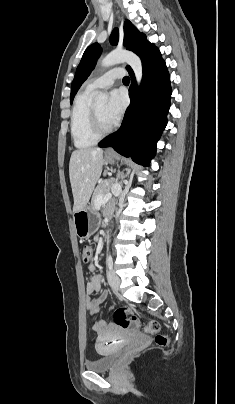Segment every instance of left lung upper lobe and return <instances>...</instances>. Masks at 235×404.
<instances>
[{"label": "left lung upper lobe", "mask_w": 235, "mask_h": 404, "mask_svg": "<svg viewBox=\"0 0 235 404\" xmlns=\"http://www.w3.org/2000/svg\"><path fill=\"white\" fill-rule=\"evenodd\" d=\"M119 40V31L115 28L110 36L112 45H117ZM124 46L127 50L136 53L141 60L157 50L153 44L146 40L144 34L140 33L135 26L129 21L124 23ZM101 47L98 43L90 45L83 54L80 64L77 67L74 80L71 85L70 102L72 103L75 94L80 88L81 84L87 79L93 70L97 59L101 54ZM128 71L131 70L130 66L126 67Z\"/></svg>", "instance_id": "obj_1"}]
</instances>
